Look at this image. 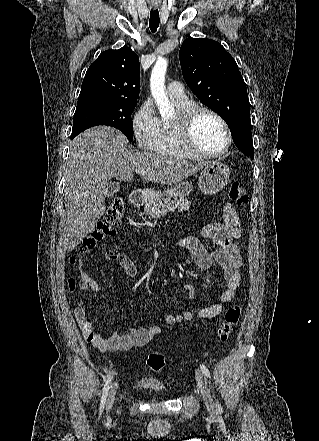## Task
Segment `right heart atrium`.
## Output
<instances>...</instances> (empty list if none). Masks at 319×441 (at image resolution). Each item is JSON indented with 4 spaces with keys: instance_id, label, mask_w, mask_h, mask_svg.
<instances>
[{
    "instance_id": "1",
    "label": "right heart atrium",
    "mask_w": 319,
    "mask_h": 441,
    "mask_svg": "<svg viewBox=\"0 0 319 441\" xmlns=\"http://www.w3.org/2000/svg\"><path fill=\"white\" fill-rule=\"evenodd\" d=\"M160 120L155 115L152 103L143 102L134 113L131 129L137 146L143 151L153 149L159 134Z\"/></svg>"
}]
</instances>
